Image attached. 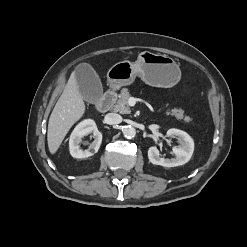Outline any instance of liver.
Instances as JSON below:
<instances>
[{
  "instance_id": "6515ba94",
  "label": "liver",
  "mask_w": 247,
  "mask_h": 247,
  "mask_svg": "<svg viewBox=\"0 0 247 247\" xmlns=\"http://www.w3.org/2000/svg\"><path fill=\"white\" fill-rule=\"evenodd\" d=\"M84 112L85 104L73 72L49 118L47 141L51 154L57 152L70 128Z\"/></svg>"
}]
</instances>
